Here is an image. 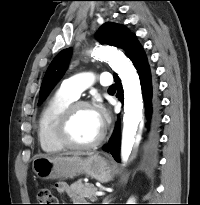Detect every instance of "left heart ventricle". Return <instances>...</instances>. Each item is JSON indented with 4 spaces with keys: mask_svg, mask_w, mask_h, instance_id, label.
Masks as SVG:
<instances>
[{
    "mask_svg": "<svg viewBox=\"0 0 200 205\" xmlns=\"http://www.w3.org/2000/svg\"><path fill=\"white\" fill-rule=\"evenodd\" d=\"M102 130L93 109H79L70 124L69 133L77 143H89L96 139Z\"/></svg>",
    "mask_w": 200,
    "mask_h": 205,
    "instance_id": "left-heart-ventricle-1",
    "label": "left heart ventricle"
}]
</instances>
